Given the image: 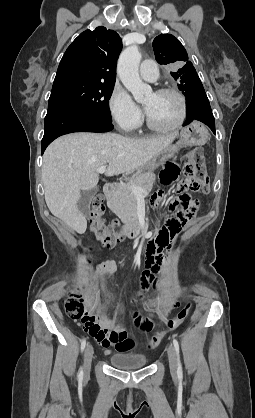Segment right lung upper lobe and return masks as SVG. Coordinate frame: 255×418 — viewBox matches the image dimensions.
Returning a JSON list of instances; mask_svg holds the SVG:
<instances>
[{"label": "right lung upper lobe", "instance_id": "1", "mask_svg": "<svg viewBox=\"0 0 255 418\" xmlns=\"http://www.w3.org/2000/svg\"><path fill=\"white\" fill-rule=\"evenodd\" d=\"M122 41L113 30L82 32L64 53L53 85L68 81L115 83Z\"/></svg>", "mask_w": 255, "mask_h": 418}]
</instances>
